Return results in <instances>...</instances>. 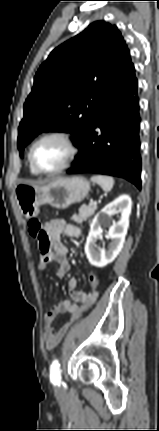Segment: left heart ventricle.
Instances as JSON below:
<instances>
[{
    "mask_svg": "<svg viewBox=\"0 0 159 431\" xmlns=\"http://www.w3.org/2000/svg\"><path fill=\"white\" fill-rule=\"evenodd\" d=\"M68 148L59 139L40 142L33 151V160L42 170H53L61 166L68 157Z\"/></svg>",
    "mask_w": 159,
    "mask_h": 431,
    "instance_id": "obj_1",
    "label": "left heart ventricle"
}]
</instances>
